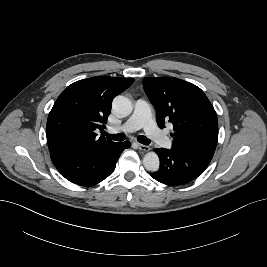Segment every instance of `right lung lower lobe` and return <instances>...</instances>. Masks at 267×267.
<instances>
[{
  "label": "right lung lower lobe",
  "instance_id": "98d812e1",
  "mask_svg": "<svg viewBox=\"0 0 267 267\" xmlns=\"http://www.w3.org/2000/svg\"><path fill=\"white\" fill-rule=\"evenodd\" d=\"M129 147V142L114 143L79 153L51 155V160L67 180L91 186L103 181L114 171L120 154Z\"/></svg>",
  "mask_w": 267,
  "mask_h": 267
}]
</instances>
